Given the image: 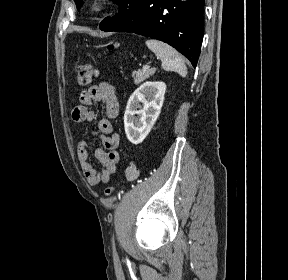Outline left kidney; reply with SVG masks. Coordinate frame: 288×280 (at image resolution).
<instances>
[{
  "instance_id": "5707ae66",
  "label": "left kidney",
  "mask_w": 288,
  "mask_h": 280,
  "mask_svg": "<svg viewBox=\"0 0 288 280\" xmlns=\"http://www.w3.org/2000/svg\"><path fill=\"white\" fill-rule=\"evenodd\" d=\"M165 91L164 82H145L130 96L124 114V127L131 143H142L151 131L160 114Z\"/></svg>"
}]
</instances>
